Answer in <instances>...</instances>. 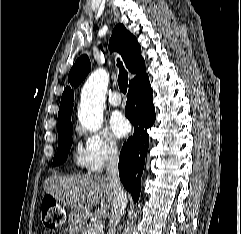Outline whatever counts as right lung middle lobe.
<instances>
[{
  "instance_id": "obj_1",
  "label": "right lung middle lobe",
  "mask_w": 241,
  "mask_h": 234,
  "mask_svg": "<svg viewBox=\"0 0 241 234\" xmlns=\"http://www.w3.org/2000/svg\"><path fill=\"white\" fill-rule=\"evenodd\" d=\"M72 126L58 131V150L53 159V165L65 162L69 149L72 145Z\"/></svg>"
}]
</instances>
